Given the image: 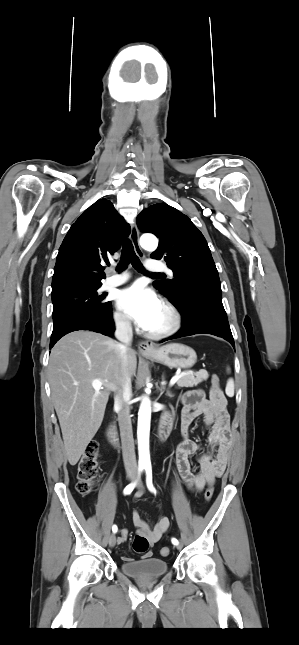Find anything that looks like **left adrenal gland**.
Returning a JSON list of instances; mask_svg holds the SVG:
<instances>
[{"label": "left adrenal gland", "mask_w": 299, "mask_h": 645, "mask_svg": "<svg viewBox=\"0 0 299 645\" xmlns=\"http://www.w3.org/2000/svg\"><path fill=\"white\" fill-rule=\"evenodd\" d=\"M163 380H164V378H163ZM164 389H165V386H164V384L162 383V385H161V393H163V392H164ZM166 395H167V396H169V397H173V395H172L169 391L167 392V394H166Z\"/></svg>", "instance_id": "obj_1"}]
</instances>
